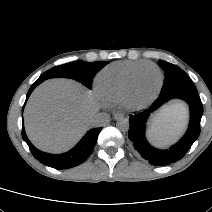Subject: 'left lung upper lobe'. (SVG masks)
<instances>
[{"instance_id": "1", "label": "left lung upper lobe", "mask_w": 212, "mask_h": 212, "mask_svg": "<svg viewBox=\"0 0 212 212\" xmlns=\"http://www.w3.org/2000/svg\"><path fill=\"white\" fill-rule=\"evenodd\" d=\"M159 64L165 71V82L160 95L179 91L198 93L193 81L179 67L163 60H159Z\"/></svg>"}]
</instances>
